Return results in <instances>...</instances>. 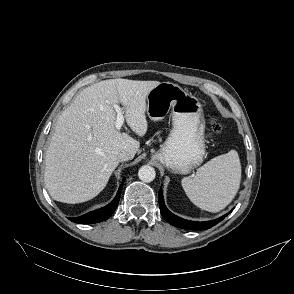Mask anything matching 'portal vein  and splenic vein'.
I'll list each match as a JSON object with an SVG mask.
<instances>
[{"label": "portal vein and splenic vein", "instance_id": "portal-vein-and-splenic-vein-1", "mask_svg": "<svg viewBox=\"0 0 294 294\" xmlns=\"http://www.w3.org/2000/svg\"><path fill=\"white\" fill-rule=\"evenodd\" d=\"M115 111L117 112V118L115 122V127L117 130H120L124 123V115L122 112V108H120L117 104L114 105Z\"/></svg>", "mask_w": 294, "mask_h": 294}]
</instances>
